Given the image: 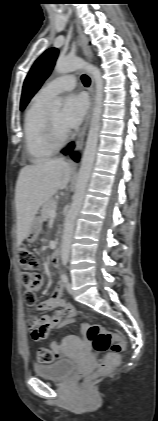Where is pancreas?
<instances>
[{"mask_svg": "<svg viewBox=\"0 0 158 421\" xmlns=\"http://www.w3.org/2000/svg\"><path fill=\"white\" fill-rule=\"evenodd\" d=\"M57 208V202L53 199L50 198L49 200H47L41 209V215L43 220H47L50 218V211L51 210H55Z\"/></svg>", "mask_w": 158, "mask_h": 421, "instance_id": "obj_1", "label": "pancreas"}]
</instances>
